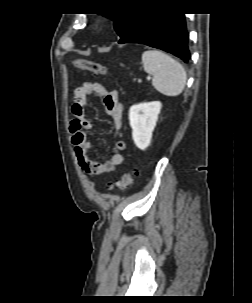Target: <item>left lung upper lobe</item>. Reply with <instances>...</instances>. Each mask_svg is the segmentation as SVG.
Listing matches in <instances>:
<instances>
[{"label":"left lung upper lobe","instance_id":"obj_1","mask_svg":"<svg viewBox=\"0 0 252 303\" xmlns=\"http://www.w3.org/2000/svg\"><path fill=\"white\" fill-rule=\"evenodd\" d=\"M144 14L142 11H137L133 13H111L103 15L110 16L114 20V28L122 39L135 28Z\"/></svg>","mask_w":252,"mask_h":303}]
</instances>
